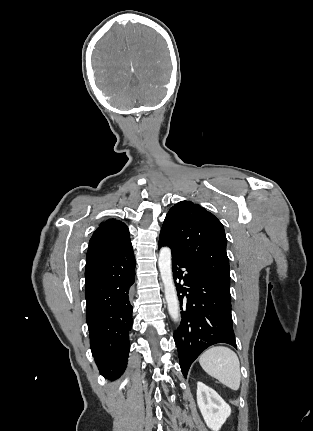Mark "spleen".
Masks as SVG:
<instances>
[{
  "instance_id": "1",
  "label": "spleen",
  "mask_w": 313,
  "mask_h": 431,
  "mask_svg": "<svg viewBox=\"0 0 313 431\" xmlns=\"http://www.w3.org/2000/svg\"><path fill=\"white\" fill-rule=\"evenodd\" d=\"M203 370L232 390L240 387L241 374L238 356L230 348L214 346L199 358Z\"/></svg>"
}]
</instances>
